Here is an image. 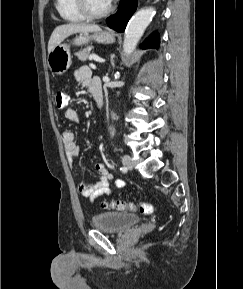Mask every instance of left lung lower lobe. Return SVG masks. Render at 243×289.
Returning <instances> with one entry per match:
<instances>
[{
    "instance_id": "left-lung-lower-lobe-1",
    "label": "left lung lower lobe",
    "mask_w": 243,
    "mask_h": 289,
    "mask_svg": "<svg viewBox=\"0 0 243 289\" xmlns=\"http://www.w3.org/2000/svg\"><path fill=\"white\" fill-rule=\"evenodd\" d=\"M137 8V0H120V5L116 14L107 18L106 22L110 28L115 29L118 32L125 30L126 24L133 15ZM158 34L152 33L141 45V48H154L159 47Z\"/></svg>"
}]
</instances>
